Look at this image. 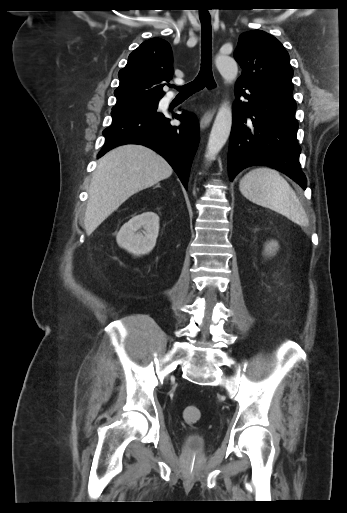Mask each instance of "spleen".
Segmentation results:
<instances>
[{
	"mask_svg": "<svg viewBox=\"0 0 347 513\" xmlns=\"http://www.w3.org/2000/svg\"><path fill=\"white\" fill-rule=\"evenodd\" d=\"M239 190L251 202L269 208L301 225L308 224L306 212L290 184L271 168H255L240 180Z\"/></svg>",
	"mask_w": 347,
	"mask_h": 513,
	"instance_id": "obj_1",
	"label": "spleen"
}]
</instances>
